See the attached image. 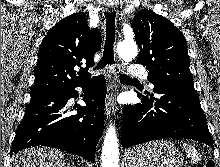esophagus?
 <instances>
[{"label":"esophagus","mask_w":220,"mask_h":167,"mask_svg":"<svg viewBox=\"0 0 220 167\" xmlns=\"http://www.w3.org/2000/svg\"><path fill=\"white\" fill-rule=\"evenodd\" d=\"M107 10L112 11L114 10L113 5H108ZM107 78L109 80V85L107 89V95L105 99V111L107 117L110 116L112 108L114 109L115 106V97L117 93V84L114 77V71L110 68L106 71Z\"/></svg>","instance_id":"esophagus-1"}]
</instances>
